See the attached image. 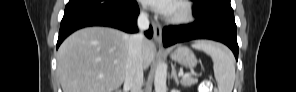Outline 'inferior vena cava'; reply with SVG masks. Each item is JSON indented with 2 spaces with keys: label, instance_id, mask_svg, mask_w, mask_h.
Instances as JSON below:
<instances>
[{
  "label": "inferior vena cava",
  "instance_id": "1",
  "mask_svg": "<svg viewBox=\"0 0 296 92\" xmlns=\"http://www.w3.org/2000/svg\"><path fill=\"white\" fill-rule=\"evenodd\" d=\"M139 33L130 35L129 52L126 61L125 84L130 87L131 92H142L143 86V53L144 42L143 31L149 28L148 14L140 13L137 20Z\"/></svg>",
  "mask_w": 296,
  "mask_h": 92
}]
</instances>
